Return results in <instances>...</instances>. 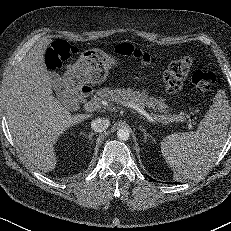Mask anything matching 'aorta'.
<instances>
[{"instance_id":"762f6f07","label":"aorta","mask_w":231,"mask_h":231,"mask_svg":"<svg viewBox=\"0 0 231 231\" xmlns=\"http://www.w3.org/2000/svg\"><path fill=\"white\" fill-rule=\"evenodd\" d=\"M117 137L121 141L128 140L129 137H130L129 130L126 129V128H120V129H118V131H117Z\"/></svg>"}]
</instances>
